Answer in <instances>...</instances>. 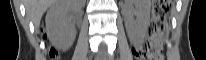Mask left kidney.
<instances>
[{
    "label": "left kidney",
    "mask_w": 206,
    "mask_h": 60,
    "mask_svg": "<svg viewBox=\"0 0 206 60\" xmlns=\"http://www.w3.org/2000/svg\"><path fill=\"white\" fill-rule=\"evenodd\" d=\"M149 12V0L129 1L128 9L125 12V25L131 41L135 44H139L143 40L149 24Z\"/></svg>",
    "instance_id": "obj_1"
}]
</instances>
